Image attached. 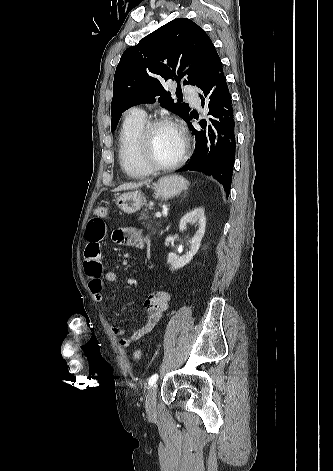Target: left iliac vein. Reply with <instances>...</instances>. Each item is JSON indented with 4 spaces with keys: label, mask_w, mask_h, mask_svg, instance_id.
Listing matches in <instances>:
<instances>
[{
    "label": "left iliac vein",
    "mask_w": 333,
    "mask_h": 471,
    "mask_svg": "<svg viewBox=\"0 0 333 471\" xmlns=\"http://www.w3.org/2000/svg\"><path fill=\"white\" fill-rule=\"evenodd\" d=\"M156 397H157V385L153 384L146 395L145 408L149 416H153L156 413Z\"/></svg>",
    "instance_id": "left-iliac-vein-1"
}]
</instances>
